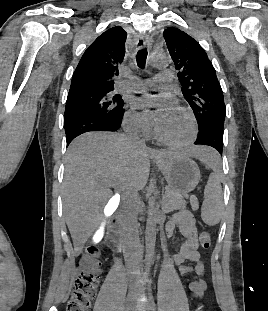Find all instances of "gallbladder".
Segmentation results:
<instances>
[{
    "mask_svg": "<svg viewBox=\"0 0 268 311\" xmlns=\"http://www.w3.org/2000/svg\"><path fill=\"white\" fill-rule=\"evenodd\" d=\"M121 199H107L106 205L104 206L105 217L111 216L112 213H115V210L121 206ZM107 232L106 227H97L96 232L94 233V239H104Z\"/></svg>",
    "mask_w": 268,
    "mask_h": 311,
    "instance_id": "1",
    "label": "gallbladder"
}]
</instances>
